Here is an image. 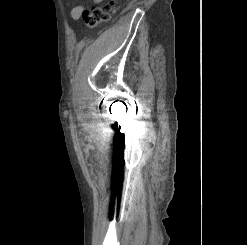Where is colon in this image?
Masks as SVG:
<instances>
[{
  "label": "colon",
  "mask_w": 247,
  "mask_h": 245,
  "mask_svg": "<svg viewBox=\"0 0 247 245\" xmlns=\"http://www.w3.org/2000/svg\"><path fill=\"white\" fill-rule=\"evenodd\" d=\"M117 8V0H105L100 5H95L84 13V24L88 28H96L109 21Z\"/></svg>",
  "instance_id": "colon-1"
}]
</instances>
